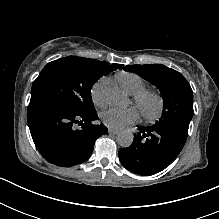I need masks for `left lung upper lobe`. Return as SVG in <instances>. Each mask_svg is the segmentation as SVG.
Masks as SVG:
<instances>
[{
    "label": "left lung upper lobe",
    "instance_id": "left-lung-upper-lobe-1",
    "mask_svg": "<svg viewBox=\"0 0 219 219\" xmlns=\"http://www.w3.org/2000/svg\"><path fill=\"white\" fill-rule=\"evenodd\" d=\"M124 70L136 73L159 88L164 107L155 125L179 127L188 132L194 114L193 92L182 74L161 64L127 65Z\"/></svg>",
    "mask_w": 219,
    "mask_h": 219
}]
</instances>
